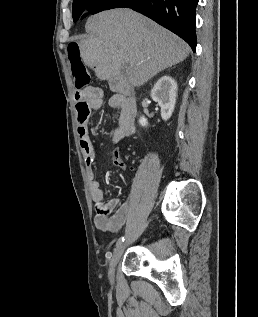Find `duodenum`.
Returning <instances> with one entry per match:
<instances>
[{
	"label": "duodenum",
	"mask_w": 258,
	"mask_h": 317,
	"mask_svg": "<svg viewBox=\"0 0 258 317\" xmlns=\"http://www.w3.org/2000/svg\"><path fill=\"white\" fill-rule=\"evenodd\" d=\"M85 98V93L82 91H77L75 94L76 102H80Z\"/></svg>",
	"instance_id": "duodenum-1"
}]
</instances>
